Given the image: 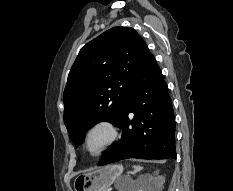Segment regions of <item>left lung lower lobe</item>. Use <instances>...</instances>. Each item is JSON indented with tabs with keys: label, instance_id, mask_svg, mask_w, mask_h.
Returning <instances> with one entry per match:
<instances>
[{
	"label": "left lung lower lobe",
	"instance_id": "obj_1",
	"mask_svg": "<svg viewBox=\"0 0 233 191\" xmlns=\"http://www.w3.org/2000/svg\"><path fill=\"white\" fill-rule=\"evenodd\" d=\"M118 126L123 135L110 146L99 166L126 158H176L172 101L151 53L132 82Z\"/></svg>",
	"mask_w": 233,
	"mask_h": 191
}]
</instances>
